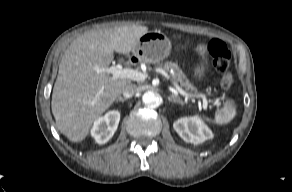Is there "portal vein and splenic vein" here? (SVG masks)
<instances>
[{
    "mask_svg": "<svg viewBox=\"0 0 292 192\" xmlns=\"http://www.w3.org/2000/svg\"><path fill=\"white\" fill-rule=\"evenodd\" d=\"M97 72H107L112 74L113 79L118 78H127L135 81H144L148 75L142 72H139L137 70L131 69V68H121L119 65H112L110 67H104V68H96ZM157 72L164 75L165 77L169 78L168 74L163 69H157ZM172 84L180 93L182 96L186 98L194 97V95L187 93L185 90H183L174 80H171ZM197 97H201L203 99V103L207 104V99L205 95H198Z\"/></svg>",
    "mask_w": 292,
    "mask_h": 192,
    "instance_id": "1",
    "label": "portal vein and splenic vein"
}]
</instances>
